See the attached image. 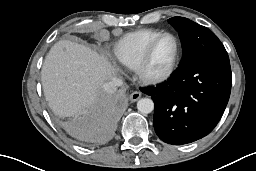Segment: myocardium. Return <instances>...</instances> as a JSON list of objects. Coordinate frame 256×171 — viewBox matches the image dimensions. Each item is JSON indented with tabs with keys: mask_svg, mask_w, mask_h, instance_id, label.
<instances>
[{
	"mask_svg": "<svg viewBox=\"0 0 256 171\" xmlns=\"http://www.w3.org/2000/svg\"><path fill=\"white\" fill-rule=\"evenodd\" d=\"M164 37H171L175 41L176 50H175L173 61L165 72L158 75H150L147 72V66L150 61L152 52L156 44ZM180 55H181V46L177 36L170 32H162L161 34L153 38L146 46L140 60L138 61L135 67V73L138 79L146 85H157V84L163 83L167 81L174 74L180 61Z\"/></svg>",
	"mask_w": 256,
	"mask_h": 171,
	"instance_id": "1",
	"label": "myocardium"
}]
</instances>
